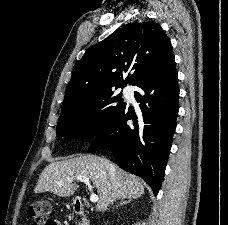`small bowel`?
<instances>
[{
    "mask_svg": "<svg viewBox=\"0 0 228 225\" xmlns=\"http://www.w3.org/2000/svg\"><path fill=\"white\" fill-rule=\"evenodd\" d=\"M53 225H61V222L54 220Z\"/></svg>",
    "mask_w": 228,
    "mask_h": 225,
    "instance_id": "obj_1",
    "label": "small bowel"
}]
</instances>
